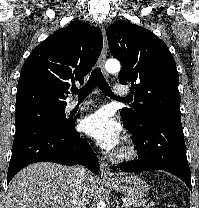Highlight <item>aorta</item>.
Returning <instances> with one entry per match:
<instances>
[{
	"mask_svg": "<svg viewBox=\"0 0 199 208\" xmlns=\"http://www.w3.org/2000/svg\"><path fill=\"white\" fill-rule=\"evenodd\" d=\"M105 68L109 73H118L120 71V62L115 59H110L106 62ZM97 208H105V203L100 201L97 203Z\"/></svg>",
	"mask_w": 199,
	"mask_h": 208,
	"instance_id": "1",
	"label": "aorta"
}]
</instances>
